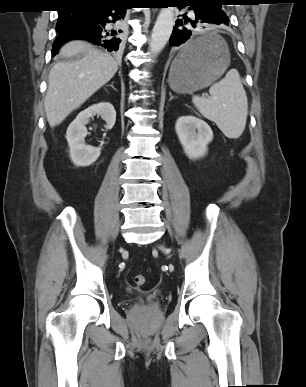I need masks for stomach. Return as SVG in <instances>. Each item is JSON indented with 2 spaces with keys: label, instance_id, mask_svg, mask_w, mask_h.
Returning <instances> with one entry per match:
<instances>
[{
  "label": "stomach",
  "instance_id": "0dacf381",
  "mask_svg": "<svg viewBox=\"0 0 306 387\" xmlns=\"http://www.w3.org/2000/svg\"><path fill=\"white\" fill-rule=\"evenodd\" d=\"M213 43L206 53L188 62L182 61V53L173 60L169 71V85L177 93L191 94L215 82L227 69L230 53L225 41L214 33H204L192 44L206 39Z\"/></svg>",
  "mask_w": 306,
  "mask_h": 387
}]
</instances>
